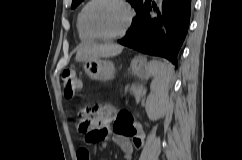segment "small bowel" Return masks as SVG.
Wrapping results in <instances>:
<instances>
[{
    "label": "small bowel",
    "instance_id": "c3829d8e",
    "mask_svg": "<svg viewBox=\"0 0 242 160\" xmlns=\"http://www.w3.org/2000/svg\"><path fill=\"white\" fill-rule=\"evenodd\" d=\"M112 113L105 111L101 117L94 121L92 125L97 126L101 132L107 133L108 129L105 124L110 122ZM144 139V132L140 128H136L134 133L124 134L115 131L113 128V142L123 151L125 157L130 160L135 148H140ZM77 160H90L89 150L81 147L77 151Z\"/></svg>",
    "mask_w": 242,
    "mask_h": 160
}]
</instances>
